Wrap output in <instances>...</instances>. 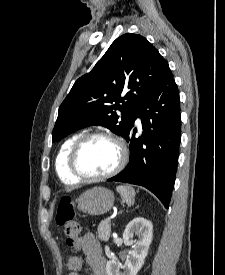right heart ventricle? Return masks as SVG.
Listing matches in <instances>:
<instances>
[{"label": "right heart ventricle", "mask_w": 225, "mask_h": 275, "mask_svg": "<svg viewBox=\"0 0 225 275\" xmlns=\"http://www.w3.org/2000/svg\"><path fill=\"white\" fill-rule=\"evenodd\" d=\"M81 136V134H74L67 138L61 145L56 159H55V169L59 179L65 184H73L79 182L68 168V156L73 144Z\"/></svg>", "instance_id": "1"}]
</instances>
